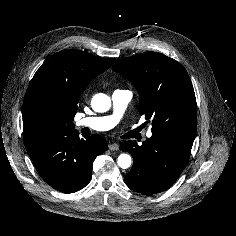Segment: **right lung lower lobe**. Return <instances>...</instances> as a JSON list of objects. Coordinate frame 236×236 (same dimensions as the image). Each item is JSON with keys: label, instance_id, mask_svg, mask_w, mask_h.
Masks as SVG:
<instances>
[{"label": "right lung lower lobe", "instance_id": "1", "mask_svg": "<svg viewBox=\"0 0 236 236\" xmlns=\"http://www.w3.org/2000/svg\"><path fill=\"white\" fill-rule=\"evenodd\" d=\"M107 142L97 134L80 138L76 130L27 148L43 179L62 193H73L91 180L94 159L106 151Z\"/></svg>", "mask_w": 236, "mask_h": 236}]
</instances>
